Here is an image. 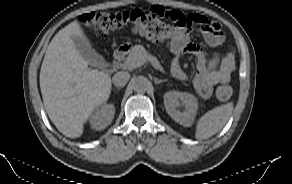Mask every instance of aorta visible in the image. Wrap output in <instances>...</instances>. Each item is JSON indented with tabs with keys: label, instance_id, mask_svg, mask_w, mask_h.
Masks as SVG:
<instances>
[{
	"label": "aorta",
	"instance_id": "1",
	"mask_svg": "<svg viewBox=\"0 0 292 184\" xmlns=\"http://www.w3.org/2000/svg\"><path fill=\"white\" fill-rule=\"evenodd\" d=\"M134 91L138 93L146 92L150 88L149 80L144 76H138L134 78L132 82Z\"/></svg>",
	"mask_w": 292,
	"mask_h": 184
}]
</instances>
